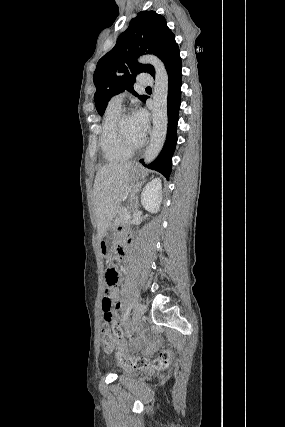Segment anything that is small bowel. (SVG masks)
I'll list each match as a JSON object with an SVG mask.
<instances>
[{"label": "small bowel", "mask_w": 285, "mask_h": 427, "mask_svg": "<svg viewBox=\"0 0 285 427\" xmlns=\"http://www.w3.org/2000/svg\"><path fill=\"white\" fill-rule=\"evenodd\" d=\"M123 307L118 288L112 289L106 293L101 302V309L106 320V316L110 313L120 311Z\"/></svg>", "instance_id": "obj_1"}]
</instances>
